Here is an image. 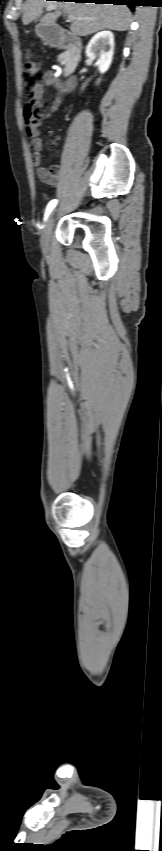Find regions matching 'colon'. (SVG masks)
I'll return each instance as SVG.
<instances>
[{"label": "colon", "mask_w": 162, "mask_h": 851, "mask_svg": "<svg viewBox=\"0 0 162 851\" xmlns=\"http://www.w3.org/2000/svg\"><path fill=\"white\" fill-rule=\"evenodd\" d=\"M27 61L24 65L23 81L26 90L33 92L35 88L42 82L43 74L39 65L33 60L32 54L26 52Z\"/></svg>", "instance_id": "5ec220e1"}]
</instances>
